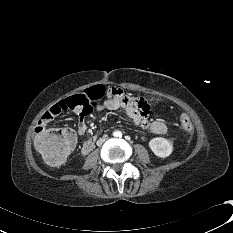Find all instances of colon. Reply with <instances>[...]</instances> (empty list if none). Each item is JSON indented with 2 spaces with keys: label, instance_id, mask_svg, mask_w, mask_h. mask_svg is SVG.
<instances>
[{
  "label": "colon",
  "instance_id": "1",
  "mask_svg": "<svg viewBox=\"0 0 233 233\" xmlns=\"http://www.w3.org/2000/svg\"><path fill=\"white\" fill-rule=\"evenodd\" d=\"M110 88L103 85H93L84 92L75 94L64 100V109L81 110L89 112L93 105L100 101ZM183 131L191 135L194 126L187 112L180 111L177 114ZM34 145L43 160L52 167L62 165L71 154L74 147V136L69 129L37 128L34 135Z\"/></svg>",
  "mask_w": 233,
  "mask_h": 233
}]
</instances>
